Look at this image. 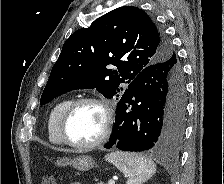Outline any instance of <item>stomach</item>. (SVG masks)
I'll return each mask as SVG.
<instances>
[{
    "label": "stomach",
    "instance_id": "1",
    "mask_svg": "<svg viewBox=\"0 0 224 184\" xmlns=\"http://www.w3.org/2000/svg\"><path fill=\"white\" fill-rule=\"evenodd\" d=\"M56 164L59 166L70 165L79 171H88L97 165L92 157L87 155H81L74 159L62 158Z\"/></svg>",
    "mask_w": 224,
    "mask_h": 184
}]
</instances>
